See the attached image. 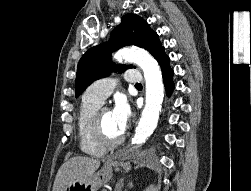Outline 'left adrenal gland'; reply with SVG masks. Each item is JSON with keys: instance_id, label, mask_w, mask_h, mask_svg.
<instances>
[{"instance_id": "1", "label": "left adrenal gland", "mask_w": 251, "mask_h": 191, "mask_svg": "<svg viewBox=\"0 0 251 191\" xmlns=\"http://www.w3.org/2000/svg\"><path fill=\"white\" fill-rule=\"evenodd\" d=\"M123 181H124L123 177H122V179H119V181H117V183H116V191H121V187L123 185Z\"/></svg>"}]
</instances>
